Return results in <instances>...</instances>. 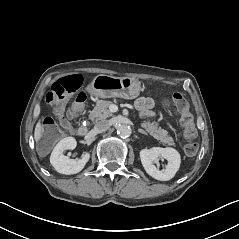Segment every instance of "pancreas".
<instances>
[{
    "label": "pancreas",
    "mask_w": 239,
    "mask_h": 239,
    "mask_svg": "<svg viewBox=\"0 0 239 239\" xmlns=\"http://www.w3.org/2000/svg\"><path fill=\"white\" fill-rule=\"evenodd\" d=\"M114 103V100H98L93 110L89 114V118L93 122L98 120L106 119L112 115L109 110L110 105ZM141 126L156 140H159L163 144L170 146H176L174 138L168 133L167 130H164L160 127V124L152 119H144L141 121Z\"/></svg>",
    "instance_id": "pancreas-1"
}]
</instances>
